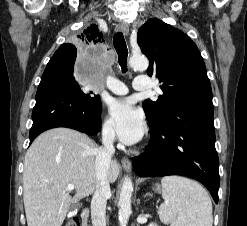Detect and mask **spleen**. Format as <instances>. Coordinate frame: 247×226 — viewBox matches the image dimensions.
Returning a JSON list of instances; mask_svg holds the SVG:
<instances>
[{
	"label": "spleen",
	"mask_w": 247,
	"mask_h": 226,
	"mask_svg": "<svg viewBox=\"0 0 247 226\" xmlns=\"http://www.w3.org/2000/svg\"><path fill=\"white\" fill-rule=\"evenodd\" d=\"M164 203L160 205L162 222L171 226H212V203L197 182L180 176L161 180Z\"/></svg>",
	"instance_id": "1"
}]
</instances>
